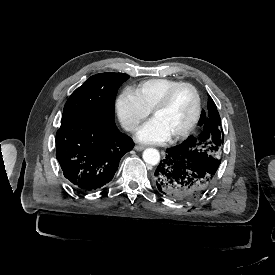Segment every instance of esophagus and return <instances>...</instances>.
<instances>
[{
    "label": "esophagus",
    "instance_id": "esophagus-1",
    "mask_svg": "<svg viewBox=\"0 0 275 275\" xmlns=\"http://www.w3.org/2000/svg\"><path fill=\"white\" fill-rule=\"evenodd\" d=\"M146 148V146L145 145H137V146H135V150H137V151H142V150H144Z\"/></svg>",
    "mask_w": 275,
    "mask_h": 275
}]
</instances>
